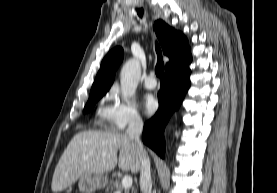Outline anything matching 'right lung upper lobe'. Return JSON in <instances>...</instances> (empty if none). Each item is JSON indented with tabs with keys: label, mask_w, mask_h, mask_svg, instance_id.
Segmentation results:
<instances>
[{
	"label": "right lung upper lobe",
	"mask_w": 277,
	"mask_h": 193,
	"mask_svg": "<svg viewBox=\"0 0 277 193\" xmlns=\"http://www.w3.org/2000/svg\"><path fill=\"white\" fill-rule=\"evenodd\" d=\"M154 29L164 54L169 57L166 68L190 52L187 38L182 33L169 27L164 21L157 20L154 23ZM122 60L123 49L120 47L114 48L105 56L90 94L108 91L114 81L115 71Z\"/></svg>",
	"instance_id": "cb5924a9"
}]
</instances>
